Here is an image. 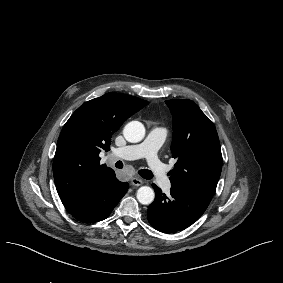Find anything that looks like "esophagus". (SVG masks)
<instances>
[{
    "mask_svg": "<svg viewBox=\"0 0 283 283\" xmlns=\"http://www.w3.org/2000/svg\"><path fill=\"white\" fill-rule=\"evenodd\" d=\"M144 182L143 180L141 179H138V178H132L131 179V184L134 185V186H140L142 185Z\"/></svg>",
    "mask_w": 283,
    "mask_h": 283,
    "instance_id": "esophagus-1",
    "label": "esophagus"
}]
</instances>
